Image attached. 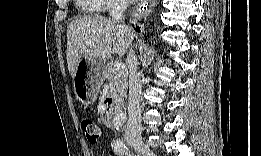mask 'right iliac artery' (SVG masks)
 Masks as SVG:
<instances>
[{
	"instance_id": "right-iliac-artery-1",
	"label": "right iliac artery",
	"mask_w": 261,
	"mask_h": 156,
	"mask_svg": "<svg viewBox=\"0 0 261 156\" xmlns=\"http://www.w3.org/2000/svg\"><path fill=\"white\" fill-rule=\"evenodd\" d=\"M112 147L114 148V152L118 155H126L128 148L126 147L125 143L120 140H114L112 143Z\"/></svg>"
}]
</instances>
